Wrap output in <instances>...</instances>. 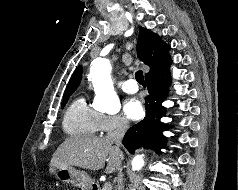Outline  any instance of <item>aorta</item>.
Masks as SVG:
<instances>
[{
    "instance_id": "obj_1",
    "label": "aorta",
    "mask_w": 238,
    "mask_h": 190,
    "mask_svg": "<svg viewBox=\"0 0 238 190\" xmlns=\"http://www.w3.org/2000/svg\"><path fill=\"white\" fill-rule=\"evenodd\" d=\"M110 72L111 64L108 59L100 58L93 61L90 75L96 93V107L99 111L116 114L120 111L121 105L114 91ZM133 163L135 168L140 169L143 166L142 156H136Z\"/></svg>"
}]
</instances>
